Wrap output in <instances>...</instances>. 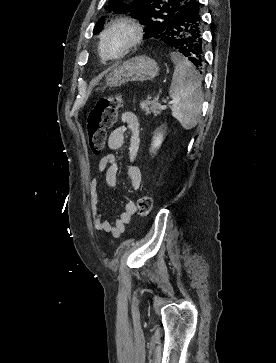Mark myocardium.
I'll return each instance as SVG.
<instances>
[{
	"label": "myocardium",
	"instance_id": "obj_1",
	"mask_svg": "<svg viewBox=\"0 0 276 363\" xmlns=\"http://www.w3.org/2000/svg\"><path fill=\"white\" fill-rule=\"evenodd\" d=\"M124 32L128 39L124 47L115 55H109L106 51L107 39L116 32ZM143 30L141 25L132 18H120L111 23L101 34L100 52L102 57L107 61H116L123 58L133 50L142 40Z\"/></svg>",
	"mask_w": 276,
	"mask_h": 363
}]
</instances>
